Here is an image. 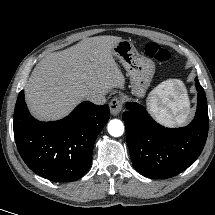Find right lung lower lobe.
<instances>
[{
  "label": "right lung lower lobe",
  "instance_id": "right-lung-lower-lobe-1",
  "mask_svg": "<svg viewBox=\"0 0 215 215\" xmlns=\"http://www.w3.org/2000/svg\"><path fill=\"white\" fill-rule=\"evenodd\" d=\"M109 117L108 106L86 101L62 120L41 122L29 113L22 90L14 111L18 151L27 166L44 178L77 180L88 171L94 141Z\"/></svg>",
  "mask_w": 215,
  "mask_h": 215
}]
</instances>
